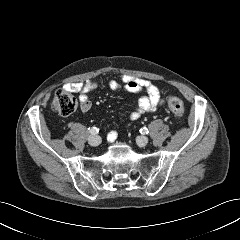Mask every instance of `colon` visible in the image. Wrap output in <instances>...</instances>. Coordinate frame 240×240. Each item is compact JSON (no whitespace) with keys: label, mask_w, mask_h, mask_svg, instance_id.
Segmentation results:
<instances>
[{"label":"colon","mask_w":240,"mask_h":240,"mask_svg":"<svg viewBox=\"0 0 240 240\" xmlns=\"http://www.w3.org/2000/svg\"><path fill=\"white\" fill-rule=\"evenodd\" d=\"M79 106L77 99L67 90L58 89L55 92L52 108L55 112L62 116H69L74 113ZM168 106L176 117H182L184 113V104L176 96L168 99Z\"/></svg>","instance_id":"5ec220e1"}]
</instances>
